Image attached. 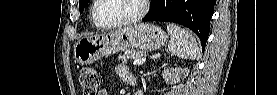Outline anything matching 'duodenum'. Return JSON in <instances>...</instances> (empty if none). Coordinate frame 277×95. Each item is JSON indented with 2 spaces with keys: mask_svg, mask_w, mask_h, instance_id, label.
<instances>
[{
  "mask_svg": "<svg viewBox=\"0 0 277 95\" xmlns=\"http://www.w3.org/2000/svg\"><path fill=\"white\" fill-rule=\"evenodd\" d=\"M130 85L133 87V89L135 90V92L133 93L134 95H140V91H139V85L137 83V81L135 79H131L129 81Z\"/></svg>",
  "mask_w": 277,
  "mask_h": 95,
  "instance_id": "410a0bca",
  "label": "duodenum"
}]
</instances>
